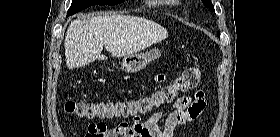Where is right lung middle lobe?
<instances>
[{"instance_id":"1","label":"right lung middle lobe","mask_w":280,"mask_h":137,"mask_svg":"<svg viewBox=\"0 0 280 137\" xmlns=\"http://www.w3.org/2000/svg\"><path fill=\"white\" fill-rule=\"evenodd\" d=\"M124 1L125 0H72V4L67 11V16L73 15L92 5H117Z\"/></svg>"}]
</instances>
